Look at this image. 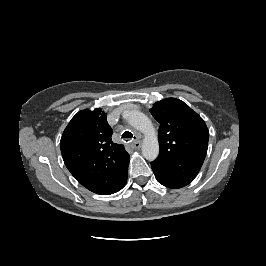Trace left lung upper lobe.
<instances>
[{"label":"left lung upper lobe","instance_id":"obj_1","mask_svg":"<svg viewBox=\"0 0 266 266\" xmlns=\"http://www.w3.org/2000/svg\"><path fill=\"white\" fill-rule=\"evenodd\" d=\"M150 112L160 123V153L151 162L155 177L188 185L200 171L207 153L209 130L204 120L175 98L154 103Z\"/></svg>","mask_w":266,"mask_h":266}]
</instances>
